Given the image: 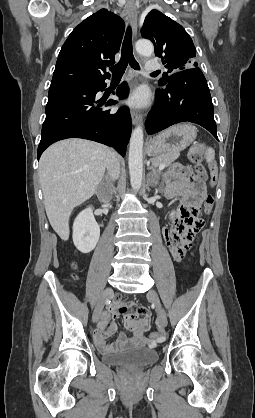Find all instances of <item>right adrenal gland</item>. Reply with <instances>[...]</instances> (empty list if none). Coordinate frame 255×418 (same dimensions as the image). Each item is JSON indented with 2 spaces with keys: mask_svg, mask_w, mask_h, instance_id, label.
<instances>
[{
  "mask_svg": "<svg viewBox=\"0 0 255 418\" xmlns=\"http://www.w3.org/2000/svg\"><path fill=\"white\" fill-rule=\"evenodd\" d=\"M104 179H105L107 182H109L110 184H112V179H111L108 175H106V176L104 177Z\"/></svg>",
  "mask_w": 255,
  "mask_h": 418,
  "instance_id": "2a0ac1e0",
  "label": "right adrenal gland"
}]
</instances>
